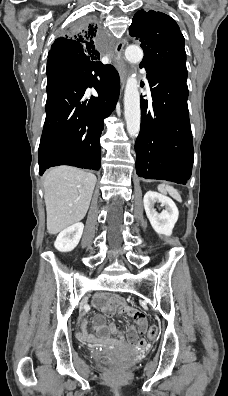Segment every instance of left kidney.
<instances>
[{"instance_id":"5707ae66","label":"left kidney","mask_w":228,"mask_h":396,"mask_svg":"<svg viewBox=\"0 0 228 396\" xmlns=\"http://www.w3.org/2000/svg\"><path fill=\"white\" fill-rule=\"evenodd\" d=\"M144 209L153 229L161 235L170 236L178 220L179 211L173 200L157 192L148 191L144 195ZM156 203L165 206V210L158 213L154 209Z\"/></svg>"}]
</instances>
